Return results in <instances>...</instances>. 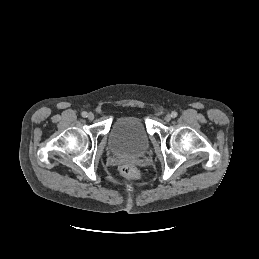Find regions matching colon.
Segmentation results:
<instances>
[{
	"label": "colon",
	"instance_id": "1",
	"mask_svg": "<svg viewBox=\"0 0 259 259\" xmlns=\"http://www.w3.org/2000/svg\"><path fill=\"white\" fill-rule=\"evenodd\" d=\"M120 172L128 178H137L139 175L138 170L131 164L121 165Z\"/></svg>",
	"mask_w": 259,
	"mask_h": 259
}]
</instances>
